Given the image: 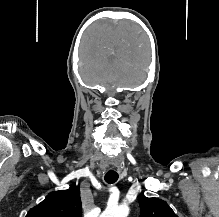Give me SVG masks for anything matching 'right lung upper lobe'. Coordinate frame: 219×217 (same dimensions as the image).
<instances>
[{"mask_svg": "<svg viewBox=\"0 0 219 217\" xmlns=\"http://www.w3.org/2000/svg\"><path fill=\"white\" fill-rule=\"evenodd\" d=\"M26 217H82L79 187L74 183L68 190L49 193Z\"/></svg>", "mask_w": 219, "mask_h": 217, "instance_id": "obj_1", "label": "right lung upper lobe"}]
</instances>
